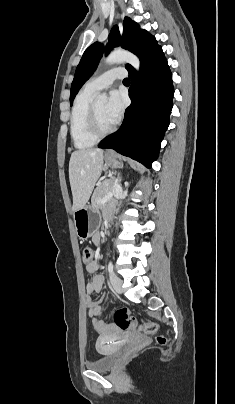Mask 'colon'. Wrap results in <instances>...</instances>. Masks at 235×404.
Instances as JSON below:
<instances>
[{"label":"colon","instance_id":"1","mask_svg":"<svg viewBox=\"0 0 235 404\" xmlns=\"http://www.w3.org/2000/svg\"><path fill=\"white\" fill-rule=\"evenodd\" d=\"M93 259V250L90 247H85L82 251V260L84 263L89 264ZM114 321L118 328L125 330L131 326H135L138 331L145 334H156L158 330V325L156 323H137L134 318L128 316L126 309H119L114 314ZM156 342L163 346L166 344L167 340L163 335L156 336ZM100 348H102L100 346Z\"/></svg>","mask_w":235,"mask_h":404}]
</instances>
